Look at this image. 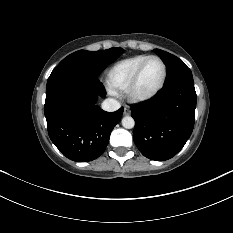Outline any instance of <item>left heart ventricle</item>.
I'll list each match as a JSON object with an SVG mask.
<instances>
[{
	"instance_id": "obj_1",
	"label": "left heart ventricle",
	"mask_w": 233,
	"mask_h": 233,
	"mask_svg": "<svg viewBox=\"0 0 233 233\" xmlns=\"http://www.w3.org/2000/svg\"><path fill=\"white\" fill-rule=\"evenodd\" d=\"M163 75V67L159 60L148 61L141 74L136 91L139 94H147L153 91L160 83Z\"/></svg>"
}]
</instances>
